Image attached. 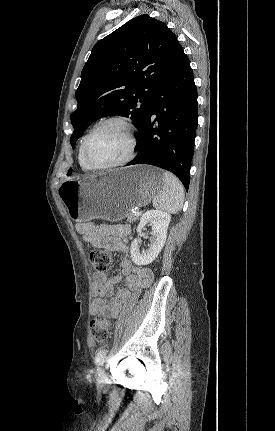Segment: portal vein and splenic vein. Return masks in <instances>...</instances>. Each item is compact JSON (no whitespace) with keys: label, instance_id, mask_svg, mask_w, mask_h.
<instances>
[{"label":"portal vein and splenic vein","instance_id":"18ae733b","mask_svg":"<svg viewBox=\"0 0 275 431\" xmlns=\"http://www.w3.org/2000/svg\"><path fill=\"white\" fill-rule=\"evenodd\" d=\"M141 214H142V212H141V211H136V212H135V215H136V216H140Z\"/></svg>","mask_w":275,"mask_h":431}]
</instances>
